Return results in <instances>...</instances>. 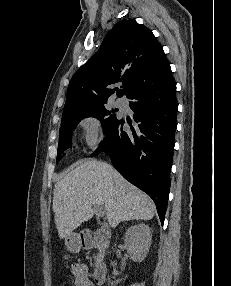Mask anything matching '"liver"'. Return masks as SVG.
I'll return each mask as SVG.
<instances>
[{"instance_id":"obj_1","label":"liver","mask_w":231,"mask_h":286,"mask_svg":"<svg viewBox=\"0 0 231 286\" xmlns=\"http://www.w3.org/2000/svg\"><path fill=\"white\" fill-rule=\"evenodd\" d=\"M93 205L102 206L110 227L127 220H150L155 205L151 198L126 181L111 165L86 159L54 187L53 212L60 239H66L84 221Z\"/></svg>"}]
</instances>
